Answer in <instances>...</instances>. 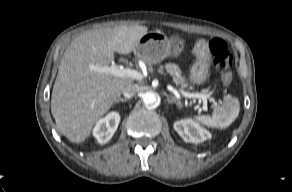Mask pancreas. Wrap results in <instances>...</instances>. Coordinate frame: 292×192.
Here are the masks:
<instances>
[{
	"instance_id": "obj_1",
	"label": "pancreas",
	"mask_w": 292,
	"mask_h": 192,
	"mask_svg": "<svg viewBox=\"0 0 292 192\" xmlns=\"http://www.w3.org/2000/svg\"><path fill=\"white\" fill-rule=\"evenodd\" d=\"M165 69L170 75L173 76V80L176 83V85H179L182 89H184L188 86L187 81L181 75L180 68L176 64H174V63L166 64Z\"/></svg>"
}]
</instances>
